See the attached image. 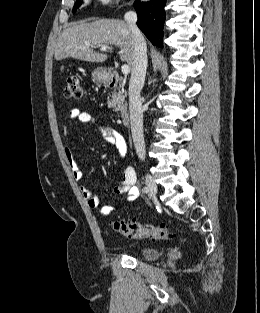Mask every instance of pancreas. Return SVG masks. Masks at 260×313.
Segmentation results:
<instances>
[{"instance_id":"pancreas-1","label":"pancreas","mask_w":260,"mask_h":313,"mask_svg":"<svg viewBox=\"0 0 260 313\" xmlns=\"http://www.w3.org/2000/svg\"><path fill=\"white\" fill-rule=\"evenodd\" d=\"M125 97L126 91H124V89H118V91H114L108 100V107L113 108L114 111H120L126 108Z\"/></svg>"}]
</instances>
